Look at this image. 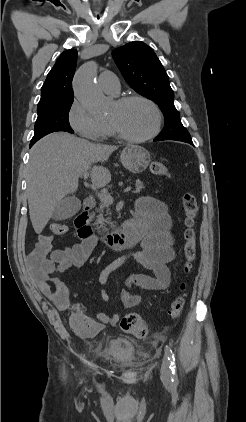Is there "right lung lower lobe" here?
<instances>
[{"mask_svg": "<svg viewBox=\"0 0 246 422\" xmlns=\"http://www.w3.org/2000/svg\"><path fill=\"white\" fill-rule=\"evenodd\" d=\"M33 146V144H30V147H32Z\"/></svg>", "mask_w": 246, "mask_h": 422, "instance_id": "obj_1", "label": "right lung lower lobe"}]
</instances>
